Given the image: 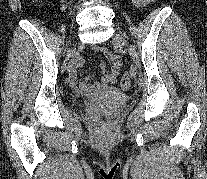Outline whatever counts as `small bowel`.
Returning <instances> with one entry per match:
<instances>
[{
    "label": "small bowel",
    "instance_id": "obj_1",
    "mask_svg": "<svg viewBox=\"0 0 207 179\" xmlns=\"http://www.w3.org/2000/svg\"><path fill=\"white\" fill-rule=\"evenodd\" d=\"M138 6L145 7L153 0H134ZM95 51H100L104 61L101 63L102 77L101 80L95 83H90V76L83 80L77 79V69L83 64V59L80 56H75L72 59L67 79L68 85L75 90L76 93L98 92L108 88L114 84L120 74L121 60L107 47H91Z\"/></svg>",
    "mask_w": 207,
    "mask_h": 179
}]
</instances>
